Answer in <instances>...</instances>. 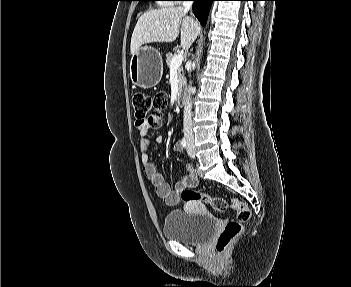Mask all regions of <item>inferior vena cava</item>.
Returning a JSON list of instances; mask_svg holds the SVG:
<instances>
[{
	"mask_svg": "<svg viewBox=\"0 0 351 287\" xmlns=\"http://www.w3.org/2000/svg\"><path fill=\"white\" fill-rule=\"evenodd\" d=\"M193 1H184L183 2V8L187 11L192 8ZM192 92V89L189 88L188 90V96L186 98V101L184 103V119H183V132H184V137L187 139H193V131H192V102L190 98V93Z\"/></svg>",
	"mask_w": 351,
	"mask_h": 287,
	"instance_id": "602c4592",
	"label": "inferior vena cava"
}]
</instances>
